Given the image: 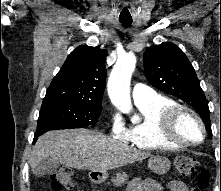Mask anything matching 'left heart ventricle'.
<instances>
[{
    "instance_id": "left-heart-ventricle-1",
    "label": "left heart ventricle",
    "mask_w": 221,
    "mask_h": 191,
    "mask_svg": "<svg viewBox=\"0 0 221 191\" xmlns=\"http://www.w3.org/2000/svg\"><path fill=\"white\" fill-rule=\"evenodd\" d=\"M178 128L180 135L189 141H198L201 137L198 125L188 116H184L180 119Z\"/></svg>"
}]
</instances>
